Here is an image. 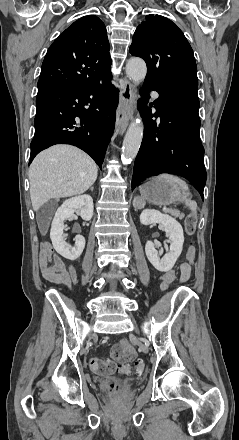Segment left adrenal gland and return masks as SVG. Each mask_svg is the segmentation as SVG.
Masks as SVG:
<instances>
[{"label": "left adrenal gland", "instance_id": "obj_1", "mask_svg": "<svg viewBox=\"0 0 239 440\" xmlns=\"http://www.w3.org/2000/svg\"><path fill=\"white\" fill-rule=\"evenodd\" d=\"M133 206H134V208H138V206H137V204H136V200H134V202H133Z\"/></svg>", "mask_w": 239, "mask_h": 440}]
</instances>
